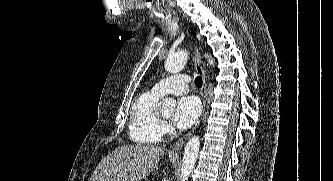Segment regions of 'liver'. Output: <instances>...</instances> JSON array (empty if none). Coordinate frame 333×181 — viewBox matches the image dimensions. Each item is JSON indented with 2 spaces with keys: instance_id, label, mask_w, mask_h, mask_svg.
Masks as SVG:
<instances>
[{
  "instance_id": "1",
  "label": "liver",
  "mask_w": 333,
  "mask_h": 181,
  "mask_svg": "<svg viewBox=\"0 0 333 181\" xmlns=\"http://www.w3.org/2000/svg\"><path fill=\"white\" fill-rule=\"evenodd\" d=\"M164 152L153 145L117 147L97 165L90 181H140L157 167Z\"/></svg>"
}]
</instances>
